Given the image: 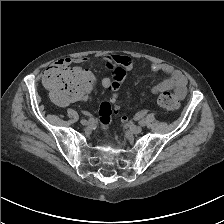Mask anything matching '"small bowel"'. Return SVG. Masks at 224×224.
Listing matches in <instances>:
<instances>
[{
	"label": "small bowel",
	"mask_w": 224,
	"mask_h": 224,
	"mask_svg": "<svg viewBox=\"0 0 224 224\" xmlns=\"http://www.w3.org/2000/svg\"><path fill=\"white\" fill-rule=\"evenodd\" d=\"M102 59L105 61L108 68H123L126 71L133 70L135 66V60L127 55H106ZM88 58L86 57H77L74 59H61L57 64L68 65L72 62L74 63H83L86 62ZM51 68L47 70L50 71ZM150 69L155 73H163L168 75V78L156 84L152 89V94L162 93L164 91L173 90L178 98L182 99L187 93V79L179 71L173 69L171 66L163 63H152L150 64Z\"/></svg>",
	"instance_id": "c3829d8e"
}]
</instances>
